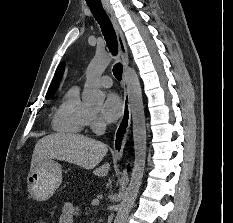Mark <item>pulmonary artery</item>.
I'll list each match as a JSON object with an SVG mask.
<instances>
[{
  "label": "pulmonary artery",
  "mask_w": 233,
  "mask_h": 223,
  "mask_svg": "<svg viewBox=\"0 0 233 223\" xmlns=\"http://www.w3.org/2000/svg\"><path fill=\"white\" fill-rule=\"evenodd\" d=\"M101 84L103 87H109L112 84V79L109 76H103L100 79Z\"/></svg>",
  "instance_id": "pulmonary-artery-1"
}]
</instances>
